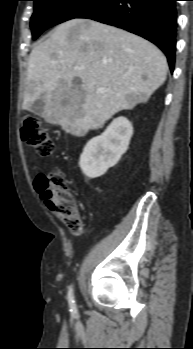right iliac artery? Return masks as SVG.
Wrapping results in <instances>:
<instances>
[{
  "label": "right iliac artery",
  "mask_w": 193,
  "mask_h": 349,
  "mask_svg": "<svg viewBox=\"0 0 193 349\" xmlns=\"http://www.w3.org/2000/svg\"><path fill=\"white\" fill-rule=\"evenodd\" d=\"M68 302L70 306V311L75 312L76 311V305L74 301V296H73V288L70 287L68 291Z\"/></svg>",
  "instance_id": "82829eb1"
}]
</instances>
